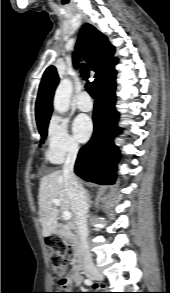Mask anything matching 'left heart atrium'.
<instances>
[{"mask_svg": "<svg viewBox=\"0 0 170 293\" xmlns=\"http://www.w3.org/2000/svg\"><path fill=\"white\" fill-rule=\"evenodd\" d=\"M73 132L77 140L85 142L93 132L91 119L86 115H79L73 122Z\"/></svg>", "mask_w": 170, "mask_h": 293, "instance_id": "1", "label": "left heart atrium"}]
</instances>
